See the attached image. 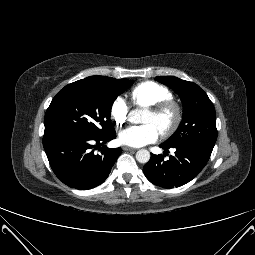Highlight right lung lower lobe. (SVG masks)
Wrapping results in <instances>:
<instances>
[{
    "label": "right lung lower lobe",
    "mask_w": 255,
    "mask_h": 255,
    "mask_svg": "<svg viewBox=\"0 0 255 255\" xmlns=\"http://www.w3.org/2000/svg\"><path fill=\"white\" fill-rule=\"evenodd\" d=\"M116 137L115 131L101 137L79 132L47 133L43 146L50 166L64 184L88 190L102 184L121 154V148L100 147ZM100 154H95L98 149Z\"/></svg>",
    "instance_id": "right-lung-lower-lobe-1"
}]
</instances>
